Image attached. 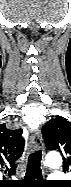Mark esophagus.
Segmentation results:
<instances>
[{"mask_svg":"<svg viewBox=\"0 0 71 187\" xmlns=\"http://www.w3.org/2000/svg\"><path fill=\"white\" fill-rule=\"evenodd\" d=\"M31 146L34 150L43 151L44 144L40 130H35L31 136ZM45 166V165H44Z\"/></svg>","mask_w":71,"mask_h":187,"instance_id":"34e87169","label":"esophagus"}]
</instances>
